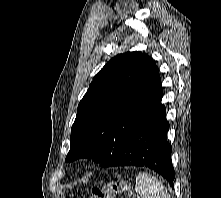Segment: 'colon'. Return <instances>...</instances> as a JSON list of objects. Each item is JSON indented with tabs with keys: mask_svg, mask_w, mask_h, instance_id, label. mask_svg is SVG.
I'll list each match as a JSON object with an SVG mask.
<instances>
[{
	"mask_svg": "<svg viewBox=\"0 0 221 198\" xmlns=\"http://www.w3.org/2000/svg\"><path fill=\"white\" fill-rule=\"evenodd\" d=\"M120 194H123L126 197L132 196V190L129 183L122 178H119L102 187L93 188L88 197L80 196L78 198H115Z\"/></svg>",
	"mask_w": 221,
	"mask_h": 198,
	"instance_id": "colon-1",
	"label": "colon"
}]
</instances>
